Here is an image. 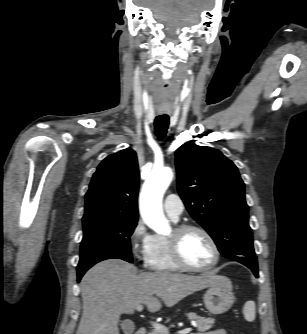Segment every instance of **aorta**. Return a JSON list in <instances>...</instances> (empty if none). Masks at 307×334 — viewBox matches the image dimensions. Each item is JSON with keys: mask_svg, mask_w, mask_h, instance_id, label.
<instances>
[{"mask_svg": "<svg viewBox=\"0 0 307 334\" xmlns=\"http://www.w3.org/2000/svg\"><path fill=\"white\" fill-rule=\"evenodd\" d=\"M173 179L170 168L154 169L140 193V213L149 228L158 234L170 232V224L162 209L163 195Z\"/></svg>", "mask_w": 307, "mask_h": 334, "instance_id": "1", "label": "aorta"}]
</instances>
